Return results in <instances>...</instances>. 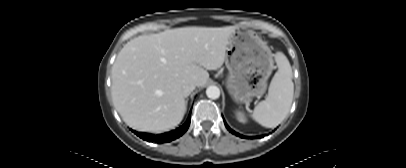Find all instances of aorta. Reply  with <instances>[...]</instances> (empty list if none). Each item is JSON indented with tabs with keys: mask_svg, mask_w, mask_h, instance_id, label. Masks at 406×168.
I'll return each instance as SVG.
<instances>
[{
	"mask_svg": "<svg viewBox=\"0 0 406 168\" xmlns=\"http://www.w3.org/2000/svg\"><path fill=\"white\" fill-rule=\"evenodd\" d=\"M206 95L210 99H217L220 96V90L217 86H209L206 89Z\"/></svg>",
	"mask_w": 406,
	"mask_h": 168,
	"instance_id": "aorta-1",
	"label": "aorta"
}]
</instances>
